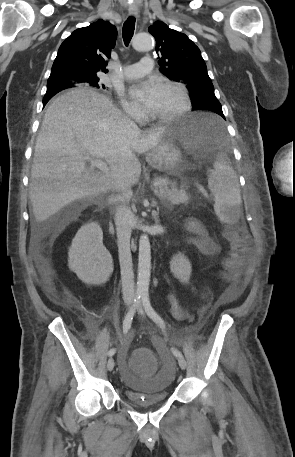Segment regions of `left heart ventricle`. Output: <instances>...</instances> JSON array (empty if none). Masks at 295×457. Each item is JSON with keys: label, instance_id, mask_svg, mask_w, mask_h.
Segmentation results:
<instances>
[{"label": "left heart ventricle", "instance_id": "1", "mask_svg": "<svg viewBox=\"0 0 295 457\" xmlns=\"http://www.w3.org/2000/svg\"><path fill=\"white\" fill-rule=\"evenodd\" d=\"M181 104L180 95L177 90L161 86L158 101L151 113L155 115H164L174 112Z\"/></svg>", "mask_w": 295, "mask_h": 457}]
</instances>
